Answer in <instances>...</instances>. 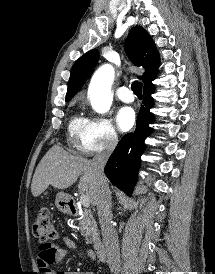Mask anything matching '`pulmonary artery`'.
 Segmentation results:
<instances>
[{
	"mask_svg": "<svg viewBox=\"0 0 215 274\" xmlns=\"http://www.w3.org/2000/svg\"><path fill=\"white\" fill-rule=\"evenodd\" d=\"M116 95L121 101L125 103H131L134 101V95L132 91L126 86L118 88Z\"/></svg>",
	"mask_w": 215,
	"mask_h": 274,
	"instance_id": "pulmonary-artery-1",
	"label": "pulmonary artery"
}]
</instances>
